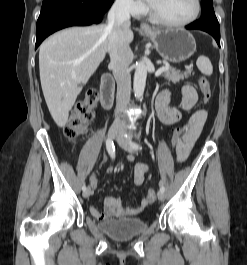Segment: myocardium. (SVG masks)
<instances>
[{"label":"myocardium","instance_id":"obj_1","mask_svg":"<svg viewBox=\"0 0 247 265\" xmlns=\"http://www.w3.org/2000/svg\"><path fill=\"white\" fill-rule=\"evenodd\" d=\"M194 3H195L194 13L192 14V16H190L188 19H186L184 21L175 22V21H170L168 19H165L162 16H160L158 13H156L151 6H148V14L153 21H155L156 23H158L162 26L171 27V28L186 27V26L194 23L199 18L200 14L202 12L201 0H194Z\"/></svg>","mask_w":247,"mask_h":265}]
</instances>
